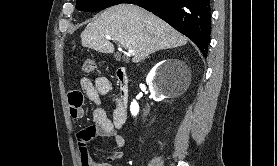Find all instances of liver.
Segmentation results:
<instances>
[{
    "label": "liver",
    "mask_w": 277,
    "mask_h": 166,
    "mask_svg": "<svg viewBox=\"0 0 277 166\" xmlns=\"http://www.w3.org/2000/svg\"><path fill=\"white\" fill-rule=\"evenodd\" d=\"M106 36L133 50L134 63L159 50L187 44V38L165 21L132 4L115 5L104 10L81 33L82 46L101 53H113L114 46Z\"/></svg>",
    "instance_id": "liver-1"
}]
</instances>
